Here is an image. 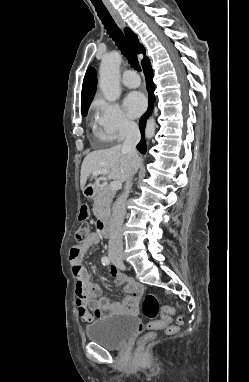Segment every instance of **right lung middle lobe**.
Instances as JSON below:
<instances>
[{"label":"right lung middle lobe","mask_w":249,"mask_h":382,"mask_svg":"<svg viewBox=\"0 0 249 382\" xmlns=\"http://www.w3.org/2000/svg\"><path fill=\"white\" fill-rule=\"evenodd\" d=\"M87 111H88V109L87 110H85V111H82L81 113H82V115L83 116H86L87 115Z\"/></svg>","instance_id":"obj_1"}]
</instances>
